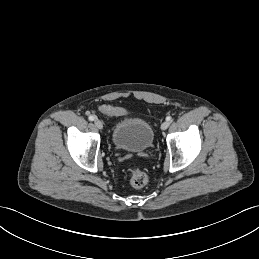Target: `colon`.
Returning a JSON list of instances; mask_svg holds the SVG:
<instances>
[{"instance_id":"1","label":"colon","mask_w":259,"mask_h":259,"mask_svg":"<svg viewBox=\"0 0 259 259\" xmlns=\"http://www.w3.org/2000/svg\"><path fill=\"white\" fill-rule=\"evenodd\" d=\"M100 111L104 114L111 116L125 115L129 111L126 108L115 107L110 105H105L100 108ZM128 178L130 185L134 188H142L148 183V175L141 169L132 168L128 171Z\"/></svg>"}]
</instances>
